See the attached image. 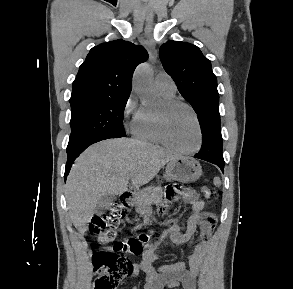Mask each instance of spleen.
I'll return each mask as SVG.
<instances>
[{"mask_svg":"<svg viewBox=\"0 0 293 289\" xmlns=\"http://www.w3.org/2000/svg\"><path fill=\"white\" fill-rule=\"evenodd\" d=\"M214 185L217 186V187L221 186V180H220L219 177L214 178Z\"/></svg>","mask_w":293,"mask_h":289,"instance_id":"3e777b00","label":"spleen"}]
</instances>
